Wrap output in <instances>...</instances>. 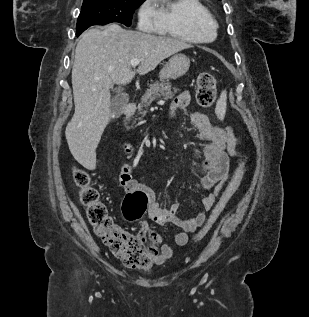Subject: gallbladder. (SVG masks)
Wrapping results in <instances>:
<instances>
[{
	"label": "gallbladder",
	"mask_w": 309,
	"mask_h": 317,
	"mask_svg": "<svg viewBox=\"0 0 309 317\" xmlns=\"http://www.w3.org/2000/svg\"><path fill=\"white\" fill-rule=\"evenodd\" d=\"M128 95L125 93L117 92L115 96L111 99V104H110V112L112 118H118L124 107L128 103Z\"/></svg>",
	"instance_id": "obj_1"
}]
</instances>
